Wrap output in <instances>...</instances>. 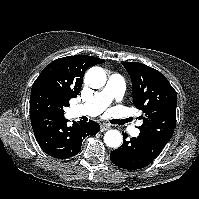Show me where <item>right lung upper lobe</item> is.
<instances>
[{"instance_id": "obj_1", "label": "right lung upper lobe", "mask_w": 199, "mask_h": 199, "mask_svg": "<svg viewBox=\"0 0 199 199\" xmlns=\"http://www.w3.org/2000/svg\"><path fill=\"white\" fill-rule=\"evenodd\" d=\"M105 60L87 55L68 56L54 60L35 80L31 94L37 91H49L69 106V100L75 98L83 83L85 71L92 65Z\"/></svg>"}]
</instances>
